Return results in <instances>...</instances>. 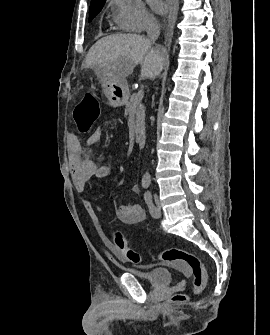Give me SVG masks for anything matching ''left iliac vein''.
<instances>
[{
    "label": "left iliac vein",
    "mask_w": 270,
    "mask_h": 335,
    "mask_svg": "<svg viewBox=\"0 0 270 335\" xmlns=\"http://www.w3.org/2000/svg\"><path fill=\"white\" fill-rule=\"evenodd\" d=\"M154 201H155V207H156V214L153 216L155 218H158L161 216V205L158 196L155 194L154 195Z\"/></svg>",
    "instance_id": "4c4485c4"
}]
</instances>
